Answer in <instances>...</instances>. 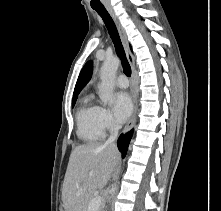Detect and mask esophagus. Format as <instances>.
Here are the masks:
<instances>
[{"mask_svg": "<svg viewBox=\"0 0 221 211\" xmlns=\"http://www.w3.org/2000/svg\"><path fill=\"white\" fill-rule=\"evenodd\" d=\"M108 12L112 16V18H113V20H114V22L116 24V27L118 29V32H119V35H120V38H121V41H122V44H123V47H124L127 59H128V62L131 65V68H132V102H133V111H132V115L129 118V120H128L126 126H125V129H124V133H126V132H128L132 128V126H133V124L135 122V119H136L137 112H138V95L136 93L135 84H134V79H135V60H134L133 54L130 51V48H129V45H128V42H127V38H126L125 30H124L123 26L121 25L118 17L115 15V13L111 9H109Z\"/></svg>", "mask_w": 221, "mask_h": 211, "instance_id": "1", "label": "esophagus"}]
</instances>
